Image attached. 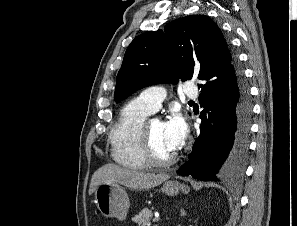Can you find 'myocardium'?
Here are the masks:
<instances>
[{"label":"myocardium","instance_id":"obj_1","mask_svg":"<svg viewBox=\"0 0 297 226\" xmlns=\"http://www.w3.org/2000/svg\"><path fill=\"white\" fill-rule=\"evenodd\" d=\"M150 123L151 120H145L139 131L141 150L147 163L155 167H166L174 164L178 159L177 154H173L167 158H161L155 153L150 138Z\"/></svg>","mask_w":297,"mask_h":226}]
</instances>
